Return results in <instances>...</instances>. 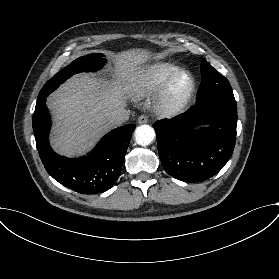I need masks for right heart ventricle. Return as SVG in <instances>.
<instances>
[{"label":"right heart ventricle","instance_id":"e07e8e85","mask_svg":"<svg viewBox=\"0 0 279 279\" xmlns=\"http://www.w3.org/2000/svg\"><path fill=\"white\" fill-rule=\"evenodd\" d=\"M180 71H184V68L175 63L150 64L138 72L132 84V92L138 97L158 93L165 83Z\"/></svg>","mask_w":279,"mask_h":279}]
</instances>
